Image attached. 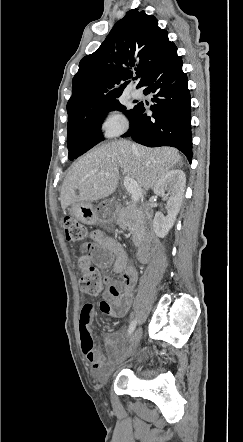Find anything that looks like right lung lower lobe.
<instances>
[{"label": "right lung lower lobe", "mask_w": 243, "mask_h": 442, "mask_svg": "<svg viewBox=\"0 0 243 442\" xmlns=\"http://www.w3.org/2000/svg\"><path fill=\"white\" fill-rule=\"evenodd\" d=\"M188 79L182 71L177 49L143 83L144 93H153L152 117L143 114V102L136 105L129 119L130 129L122 137L148 147L171 146L191 162V106Z\"/></svg>", "instance_id": "98d812e1"}]
</instances>
